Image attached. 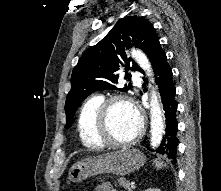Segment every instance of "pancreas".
Instances as JSON below:
<instances>
[{"instance_id":"obj_1","label":"pancreas","mask_w":221,"mask_h":191,"mask_svg":"<svg viewBox=\"0 0 221 191\" xmlns=\"http://www.w3.org/2000/svg\"><path fill=\"white\" fill-rule=\"evenodd\" d=\"M118 183L121 187L125 188L128 191H132V186L126 178H119Z\"/></svg>"}]
</instances>
